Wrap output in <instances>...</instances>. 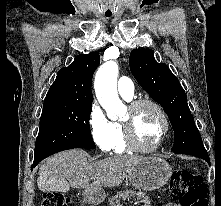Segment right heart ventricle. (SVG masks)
Wrapping results in <instances>:
<instances>
[{"mask_svg": "<svg viewBox=\"0 0 221 206\" xmlns=\"http://www.w3.org/2000/svg\"><path fill=\"white\" fill-rule=\"evenodd\" d=\"M114 125V139L112 150L116 154H122L129 150L126 140L123 127L120 123H113Z\"/></svg>", "mask_w": 221, "mask_h": 206, "instance_id": "obj_1", "label": "right heart ventricle"}]
</instances>
